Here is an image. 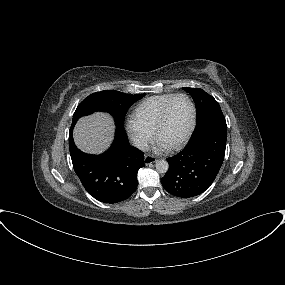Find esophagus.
I'll return each instance as SVG.
<instances>
[{"label":"esophagus","mask_w":285,"mask_h":285,"mask_svg":"<svg viewBox=\"0 0 285 285\" xmlns=\"http://www.w3.org/2000/svg\"><path fill=\"white\" fill-rule=\"evenodd\" d=\"M157 161V158L154 156L146 155L144 158V164L149 165Z\"/></svg>","instance_id":"obj_1"}]
</instances>
